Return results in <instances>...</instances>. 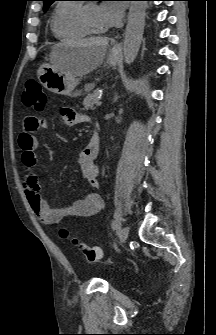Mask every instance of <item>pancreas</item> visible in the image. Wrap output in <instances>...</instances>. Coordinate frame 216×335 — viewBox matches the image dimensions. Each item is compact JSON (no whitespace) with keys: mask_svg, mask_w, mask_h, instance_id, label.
Listing matches in <instances>:
<instances>
[{"mask_svg":"<svg viewBox=\"0 0 216 335\" xmlns=\"http://www.w3.org/2000/svg\"><path fill=\"white\" fill-rule=\"evenodd\" d=\"M99 94H100L99 89H96L92 93H88L87 96L85 97L84 101H83L84 109L94 110L95 109L94 105L97 104V102H98Z\"/></svg>","mask_w":216,"mask_h":335,"instance_id":"obj_1","label":"pancreas"}]
</instances>
